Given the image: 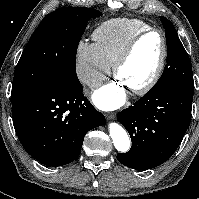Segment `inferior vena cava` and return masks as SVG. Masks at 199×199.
<instances>
[{
  "instance_id": "obj_1",
  "label": "inferior vena cava",
  "mask_w": 199,
  "mask_h": 199,
  "mask_svg": "<svg viewBox=\"0 0 199 199\" xmlns=\"http://www.w3.org/2000/svg\"><path fill=\"white\" fill-rule=\"evenodd\" d=\"M91 87L97 88L100 87L102 84V81L100 79H92L88 83Z\"/></svg>"
}]
</instances>
